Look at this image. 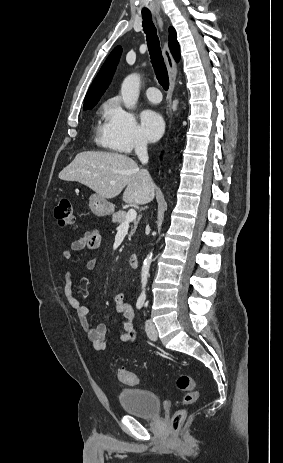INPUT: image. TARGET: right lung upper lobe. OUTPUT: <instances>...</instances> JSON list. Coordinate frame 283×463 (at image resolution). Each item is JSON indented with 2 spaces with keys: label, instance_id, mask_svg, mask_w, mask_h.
Listing matches in <instances>:
<instances>
[{
  "label": "right lung upper lobe",
  "instance_id": "right-lung-upper-lobe-1",
  "mask_svg": "<svg viewBox=\"0 0 283 463\" xmlns=\"http://www.w3.org/2000/svg\"><path fill=\"white\" fill-rule=\"evenodd\" d=\"M169 47L174 58L178 61L180 57V49L176 38V32L173 27L169 28ZM121 53L122 48L120 46L115 47L110 53L86 94L84 106L97 104L112 80Z\"/></svg>",
  "mask_w": 283,
  "mask_h": 463
}]
</instances>
